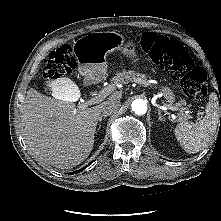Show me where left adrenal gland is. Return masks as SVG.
Returning <instances> with one entry per match:
<instances>
[{
  "instance_id": "a2214340",
  "label": "left adrenal gland",
  "mask_w": 221,
  "mask_h": 221,
  "mask_svg": "<svg viewBox=\"0 0 221 221\" xmlns=\"http://www.w3.org/2000/svg\"><path fill=\"white\" fill-rule=\"evenodd\" d=\"M158 116H159L160 121H164V118H163L160 110H158Z\"/></svg>"
}]
</instances>
